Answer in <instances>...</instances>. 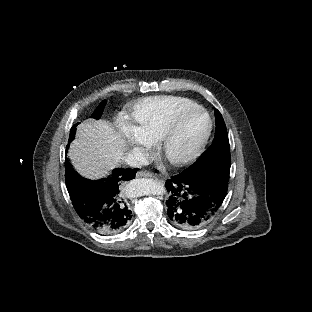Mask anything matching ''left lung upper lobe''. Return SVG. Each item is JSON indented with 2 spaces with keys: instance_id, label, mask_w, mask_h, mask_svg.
Listing matches in <instances>:
<instances>
[{
  "instance_id": "obj_1",
  "label": "left lung upper lobe",
  "mask_w": 312,
  "mask_h": 312,
  "mask_svg": "<svg viewBox=\"0 0 312 312\" xmlns=\"http://www.w3.org/2000/svg\"><path fill=\"white\" fill-rule=\"evenodd\" d=\"M215 115L217 127L213 142L199 157V159L189 167L190 169L197 168L208 163L219 162L220 159L230 161V145L225 122L221 113L217 109H215Z\"/></svg>"
}]
</instances>
